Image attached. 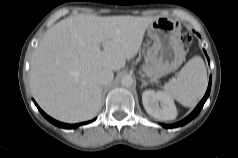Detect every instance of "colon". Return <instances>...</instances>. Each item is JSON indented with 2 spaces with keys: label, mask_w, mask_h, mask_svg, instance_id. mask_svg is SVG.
Instances as JSON below:
<instances>
[{
  "label": "colon",
  "mask_w": 238,
  "mask_h": 158,
  "mask_svg": "<svg viewBox=\"0 0 238 158\" xmlns=\"http://www.w3.org/2000/svg\"><path fill=\"white\" fill-rule=\"evenodd\" d=\"M191 36L188 34V33H183L181 35V42L184 44V45H189L191 43Z\"/></svg>",
  "instance_id": "colon-1"
}]
</instances>
